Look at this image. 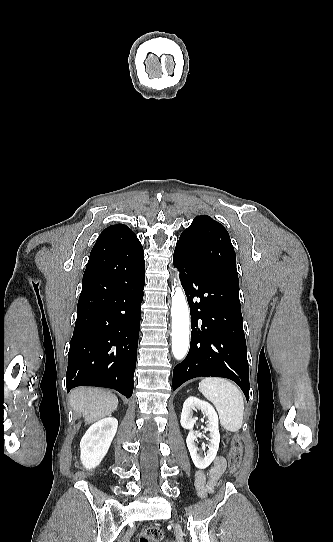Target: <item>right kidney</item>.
I'll return each mask as SVG.
<instances>
[{
	"label": "right kidney",
	"mask_w": 333,
	"mask_h": 542,
	"mask_svg": "<svg viewBox=\"0 0 333 542\" xmlns=\"http://www.w3.org/2000/svg\"><path fill=\"white\" fill-rule=\"evenodd\" d=\"M116 418H103L88 428L80 442V460L87 470L99 466L117 432Z\"/></svg>",
	"instance_id": "right-kidney-1"
}]
</instances>
